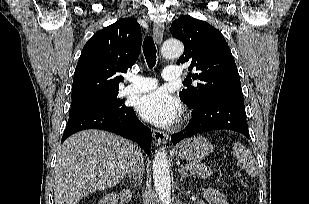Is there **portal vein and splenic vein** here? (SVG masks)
Instances as JSON below:
<instances>
[{
    "label": "portal vein and splenic vein",
    "mask_w": 309,
    "mask_h": 204,
    "mask_svg": "<svg viewBox=\"0 0 309 204\" xmlns=\"http://www.w3.org/2000/svg\"><path fill=\"white\" fill-rule=\"evenodd\" d=\"M188 168H189V166H188V165H186V166H185V169H188Z\"/></svg>",
    "instance_id": "18ae733b"
}]
</instances>
